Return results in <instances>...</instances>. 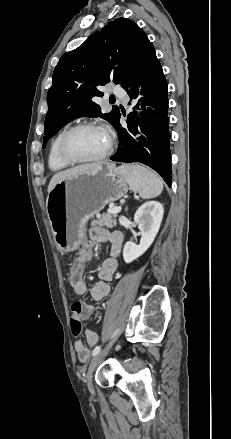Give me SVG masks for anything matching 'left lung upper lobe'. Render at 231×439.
Returning a JSON list of instances; mask_svg holds the SVG:
<instances>
[{"instance_id": "5c2ea615", "label": "left lung upper lobe", "mask_w": 231, "mask_h": 439, "mask_svg": "<svg viewBox=\"0 0 231 439\" xmlns=\"http://www.w3.org/2000/svg\"><path fill=\"white\" fill-rule=\"evenodd\" d=\"M151 46L136 23L118 18L65 53L55 67L47 94L43 147L67 123L82 116L101 117L115 127L119 110L103 114L92 99L103 96L98 86L110 81L124 87Z\"/></svg>"}]
</instances>
